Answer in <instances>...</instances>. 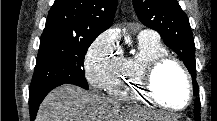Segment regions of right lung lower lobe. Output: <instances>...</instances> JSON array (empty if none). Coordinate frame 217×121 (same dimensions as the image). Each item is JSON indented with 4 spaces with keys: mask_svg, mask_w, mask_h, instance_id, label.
<instances>
[{
    "mask_svg": "<svg viewBox=\"0 0 217 121\" xmlns=\"http://www.w3.org/2000/svg\"><path fill=\"white\" fill-rule=\"evenodd\" d=\"M65 84L63 82H56V83H52L49 84L45 87H43L42 89L29 93V105H30V117H31V121L35 119V116L37 114V110L39 108V105L41 104V102L43 101V99L45 98V96L54 88Z\"/></svg>",
    "mask_w": 217,
    "mask_h": 121,
    "instance_id": "right-lung-lower-lobe-1",
    "label": "right lung lower lobe"
}]
</instances>
